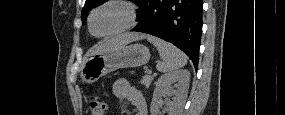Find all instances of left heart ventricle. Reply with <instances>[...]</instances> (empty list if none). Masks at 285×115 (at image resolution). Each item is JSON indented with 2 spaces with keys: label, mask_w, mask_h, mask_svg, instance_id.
<instances>
[{
  "label": "left heart ventricle",
  "mask_w": 285,
  "mask_h": 115,
  "mask_svg": "<svg viewBox=\"0 0 285 115\" xmlns=\"http://www.w3.org/2000/svg\"><path fill=\"white\" fill-rule=\"evenodd\" d=\"M125 22V14L120 7L105 6L98 10L92 20V29L96 34H105L116 30Z\"/></svg>",
  "instance_id": "1"
}]
</instances>
